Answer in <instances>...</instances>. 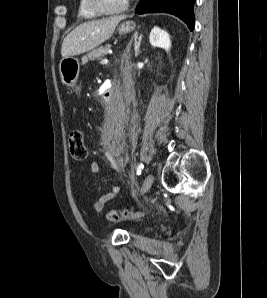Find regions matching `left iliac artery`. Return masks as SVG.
<instances>
[{
	"mask_svg": "<svg viewBox=\"0 0 267 298\" xmlns=\"http://www.w3.org/2000/svg\"><path fill=\"white\" fill-rule=\"evenodd\" d=\"M143 168H144V165L142 163L138 164L136 174L140 175Z\"/></svg>",
	"mask_w": 267,
	"mask_h": 298,
	"instance_id": "44dca946",
	"label": "left iliac artery"
}]
</instances>
